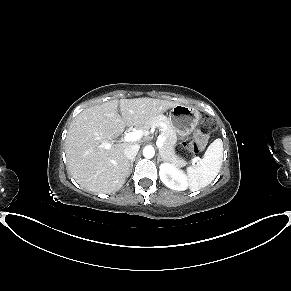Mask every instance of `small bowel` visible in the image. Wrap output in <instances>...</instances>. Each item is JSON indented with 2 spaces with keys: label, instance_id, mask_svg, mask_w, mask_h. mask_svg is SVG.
Masks as SVG:
<instances>
[{
  "label": "small bowel",
  "instance_id": "small-bowel-1",
  "mask_svg": "<svg viewBox=\"0 0 291 291\" xmlns=\"http://www.w3.org/2000/svg\"><path fill=\"white\" fill-rule=\"evenodd\" d=\"M199 140H200V141H202V140H203L201 136H199Z\"/></svg>",
  "mask_w": 291,
  "mask_h": 291
}]
</instances>
